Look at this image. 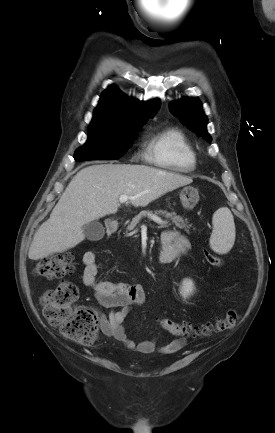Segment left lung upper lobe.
<instances>
[{
  "instance_id": "5c2ea615",
  "label": "left lung upper lobe",
  "mask_w": 275,
  "mask_h": 433,
  "mask_svg": "<svg viewBox=\"0 0 275 433\" xmlns=\"http://www.w3.org/2000/svg\"><path fill=\"white\" fill-rule=\"evenodd\" d=\"M170 111L178 116L181 122L196 132L198 136L211 142V137L206 130L207 117L202 110L201 103L196 98H186L172 102Z\"/></svg>"
}]
</instances>
